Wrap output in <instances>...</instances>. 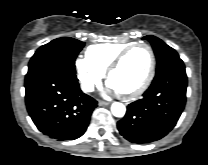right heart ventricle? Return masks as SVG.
<instances>
[{
  "label": "right heart ventricle",
  "instance_id": "e07e8e85",
  "mask_svg": "<svg viewBox=\"0 0 208 165\" xmlns=\"http://www.w3.org/2000/svg\"><path fill=\"white\" fill-rule=\"evenodd\" d=\"M131 44L132 42H105L93 44L87 47L85 56L104 74L116 55Z\"/></svg>",
  "mask_w": 208,
  "mask_h": 165
}]
</instances>
